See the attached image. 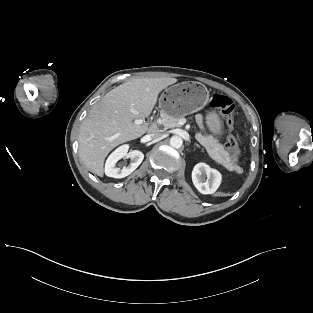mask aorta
I'll list each match as a JSON object with an SVG mask.
<instances>
[{"instance_id": "obj_1", "label": "aorta", "mask_w": 313, "mask_h": 313, "mask_svg": "<svg viewBox=\"0 0 313 313\" xmlns=\"http://www.w3.org/2000/svg\"><path fill=\"white\" fill-rule=\"evenodd\" d=\"M183 144V140L180 136H172L171 139H170V145L173 147V148H180Z\"/></svg>"}]
</instances>
